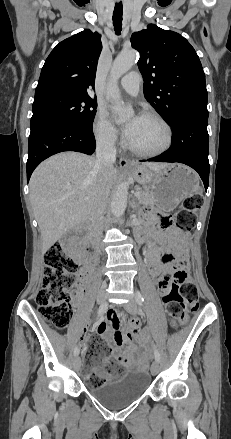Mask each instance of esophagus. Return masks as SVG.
Instances as JSON below:
<instances>
[{"mask_svg": "<svg viewBox=\"0 0 231 439\" xmlns=\"http://www.w3.org/2000/svg\"><path fill=\"white\" fill-rule=\"evenodd\" d=\"M119 164L121 169H130L133 167L131 160L125 157L120 158Z\"/></svg>", "mask_w": 231, "mask_h": 439, "instance_id": "esophagus-1", "label": "esophagus"}]
</instances>
